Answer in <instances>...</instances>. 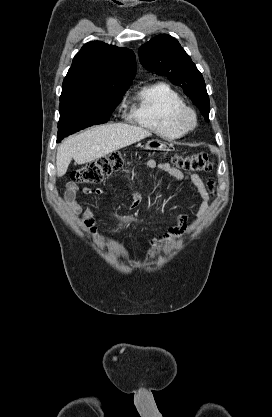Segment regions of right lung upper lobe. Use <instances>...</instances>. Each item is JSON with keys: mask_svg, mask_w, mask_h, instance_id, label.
I'll return each mask as SVG.
<instances>
[{"mask_svg": "<svg viewBox=\"0 0 272 417\" xmlns=\"http://www.w3.org/2000/svg\"><path fill=\"white\" fill-rule=\"evenodd\" d=\"M136 66L132 50L101 41L88 42L73 59L60 100L128 89Z\"/></svg>", "mask_w": 272, "mask_h": 417, "instance_id": "right-lung-upper-lobe-1", "label": "right lung upper lobe"}]
</instances>
